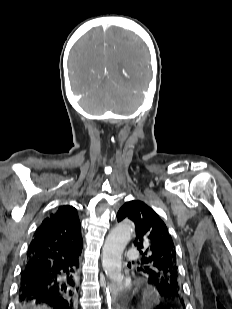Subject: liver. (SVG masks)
I'll list each match as a JSON object with an SVG mask.
<instances>
[{
	"mask_svg": "<svg viewBox=\"0 0 232 309\" xmlns=\"http://www.w3.org/2000/svg\"><path fill=\"white\" fill-rule=\"evenodd\" d=\"M32 309H50V308H48L46 306H37V307L32 308Z\"/></svg>",
	"mask_w": 232,
	"mask_h": 309,
	"instance_id": "obj_1",
	"label": "liver"
}]
</instances>
